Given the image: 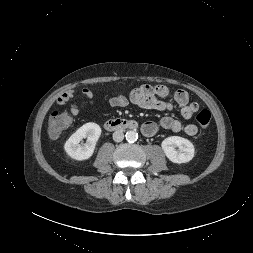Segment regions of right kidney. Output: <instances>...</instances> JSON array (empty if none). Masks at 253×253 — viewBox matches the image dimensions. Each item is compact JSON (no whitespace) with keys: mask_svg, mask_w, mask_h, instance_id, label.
<instances>
[{"mask_svg":"<svg viewBox=\"0 0 253 253\" xmlns=\"http://www.w3.org/2000/svg\"><path fill=\"white\" fill-rule=\"evenodd\" d=\"M100 135L101 128L98 124L93 122L86 123L70 136L64 145V149L75 160H87L93 155ZM86 137L87 142L81 145L80 142Z\"/></svg>","mask_w":253,"mask_h":253,"instance_id":"ca27d5eb","label":"right kidney"}]
</instances>
